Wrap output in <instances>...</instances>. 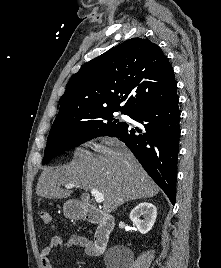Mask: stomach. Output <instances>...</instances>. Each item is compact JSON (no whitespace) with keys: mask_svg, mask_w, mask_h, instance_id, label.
Wrapping results in <instances>:
<instances>
[{"mask_svg":"<svg viewBox=\"0 0 221 268\" xmlns=\"http://www.w3.org/2000/svg\"><path fill=\"white\" fill-rule=\"evenodd\" d=\"M64 215L69 219H81L85 214V207L81 203L69 200L63 205Z\"/></svg>","mask_w":221,"mask_h":268,"instance_id":"stomach-1","label":"stomach"}]
</instances>
